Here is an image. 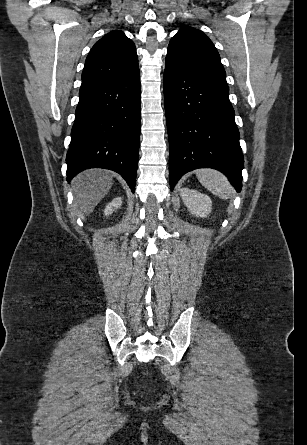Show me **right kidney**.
<instances>
[{
    "label": "right kidney",
    "mask_w": 307,
    "mask_h": 445,
    "mask_svg": "<svg viewBox=\"0 0 307 445\" xmlns=\"http://www.w3.org/2000/svg\"><path fill=\"white\" fill-rule=\"evenodd\" d=\"M121 204H122L121 196H116V198H113V200H111V202H108V204H106V206L104 208V212H105L106 216H108V214H112L113 210H116V208H119V206H121Z\"/></svg>",
    "instance_id": "obj_1"
}]
</instances>
